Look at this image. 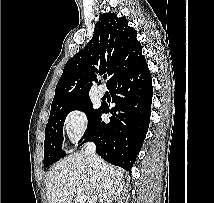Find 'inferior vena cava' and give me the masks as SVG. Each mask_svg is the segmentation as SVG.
<instances>
[{"label": "inferior vena cava", "instance_id": "1", "mask_svg": "<svg viewBox=\"0 0 214 203\" xmlns=\"http://www.w3.org/2000/svg\"><path fill=\"white\" fill-rule=\"evenodd\" d=\"M85 154L88 159V162L94 169V175L92 179L98 183L101 181V167L103 165V161L96 154V146L94 143L92 142L87 143L85 147ZM91 203H97V196L95 198V201H92Z\"/></svg>", "mask_w": 214, "mask_h": 203}]
</instances>
